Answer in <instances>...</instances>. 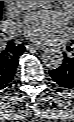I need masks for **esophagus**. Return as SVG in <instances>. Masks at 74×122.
I'll return each mask as SVG.
<instances>
[{"label": "esophagus", "instance_id": "obj_1", "mask_svg": "<svg viewBox=\"0 0 74 122\" xmlns=\"http://www.w3.org/2000/svg\"><path fill=\"white\" fill-rule=\"evenodd\" d=\"M46 46L44 44H30L27 46L28 50L35 49V50H43Z\"/></svg>", "mask_w": 74, "mask_h": 122}]
</instances>
